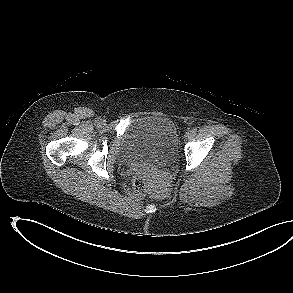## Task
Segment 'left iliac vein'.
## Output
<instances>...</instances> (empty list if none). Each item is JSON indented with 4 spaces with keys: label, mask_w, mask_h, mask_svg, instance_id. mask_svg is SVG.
Instances as JSON below:
<instances>
[{
    "label": "left iliac vein",
    "mask_w": 293,
    "mask_h": 293,
    "mask_svg": "<svg viewBox=\"0 0 293 293\" xmlns=\"http://www.w3.org/2000/svg\"><path fill=\"white\" fill-rule=\"evenodd\" d=\"M191 135H192V132H191V131H188V132H186L185 137L188 138V137H190Z\"/></svg>",
    "instance_id": "left-iliac-vein-1"
}]
</instances>
